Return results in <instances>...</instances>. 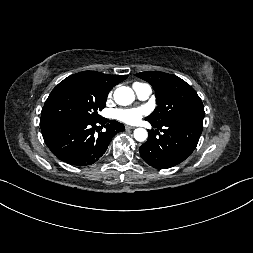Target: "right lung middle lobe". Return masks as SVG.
<instances>
[{"label": "right lung middle lobe", "instance_id": "dd1d6c3e", "mask_svg": "<svg viewBox=\"0 0 253 253\" xmlns=\"http://www.w3.org/2000/svg\"><path fill=\"white\" fill-rule=\"evenodd\" d=\"M108 93L81 72L73 74L52 90L42 108L40 121H97L102 118L98 111L105 107Z\"/></svg>", "mask_w": 253, "mask_h": 253}]
</instances>
